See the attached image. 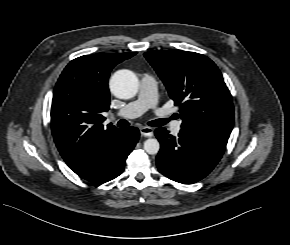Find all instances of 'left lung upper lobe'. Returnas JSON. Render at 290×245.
<instances>
[{
  "instance_id": "1",
  "label": "left lung upper lobe",
  "mask_w": 290,
  "mask_h": 245,
  "mask_svg": "<svg viewBox=\"0 0 290 245\" xmlns=\"http://www.w3.org/2000/svg\"><path fill=\"white\" fill-rule=\"evenodd\" d=\"M144 56L179 106L182 129L227 144L234 108L214 62L202 54L180 50L150 51Z\"/></svg>"
}]
</instances>
